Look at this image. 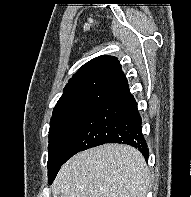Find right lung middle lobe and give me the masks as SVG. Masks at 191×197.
Returning <instances> with one entry per match:
<instances>
[{
    "label": "right lung middle lobe",
    "instance_id": "1",
    "mask_svg": "<svg viewBox=\"0 0 191 197\" xmlns=\"http://www.w3.org/2000/svg\"><path fill=\"white\" fill-rule=\"evenodd\" d=\"M93 107H80L54 114L50 121L48 182L51 184L65 162L72 144Z\"/></svg>",
    "mask_w": 191,
    "mask_h": 197
}]
</instances>
